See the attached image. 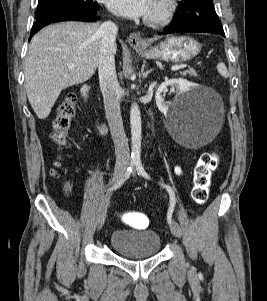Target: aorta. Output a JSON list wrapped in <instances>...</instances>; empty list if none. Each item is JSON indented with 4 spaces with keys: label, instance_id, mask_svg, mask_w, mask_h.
<instances>
[{
    "label": "aorta",
    "instance_id": "obj_1",
    "mask_svg": "<svg viewBox=\"0 0 267 301\" xmlns=\"http://www.w3.org/2000/svg\"><path fill=\"white\" fill-rule=\"evenodd\" d=\"M130 125H131V156L133 160H139L141 154V114L136 103H133L130 109Z\"/></svg>",
    "mask_w": 267,
    "mask_h": 301
}]
</instances>
